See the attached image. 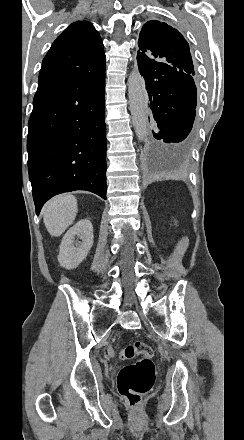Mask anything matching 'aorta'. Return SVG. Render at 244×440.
I'll use <instances>...</instances> for the list:
<instances>
[{
  "mask_svg": "<svg viewBox=\"0 0 244 440\" xmlns=\"http://www.w3.org/2000/svg\"><path fill=\"white\" fill-rule=\"evenodd\" d=\"M127 85L132 124L138 139L144 141L147 134V97L138 71L131 72Z\"/></svg>",
  "mask_w": 244,
  "mask_h": 440,
  "instance_id": "aorta-1",
  "label": "aorta"
}]
</instances>
